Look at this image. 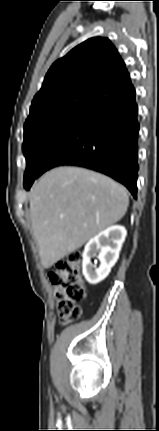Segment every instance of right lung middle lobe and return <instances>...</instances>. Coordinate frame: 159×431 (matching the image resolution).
Masks as SVG:
<instances>
[{
  "mask_svg": "<svg viewBox=\"0 0 159 431\" xmlns=\"http://www.w3.org/2000/svg\"><path fill=\"white\" fill-rule=\"evenodd\" d=\"M87 116L61 112L36 119L24 126L23 153L27 167L24 184L33 180L40 172L44 157L50 148L70 129Z\"/></svg>",
  "mask_w": 159,
  "mask_h": 431,
  "instance_id": "1",
  "label": "right lung middle lobe"
}]
</instances>
